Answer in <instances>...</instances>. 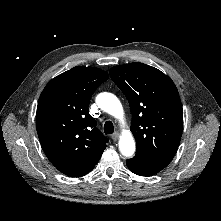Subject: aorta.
<instances>
[{"label":"aorta","mask_w":221,"mask_h":221,"mask_svg":"<svg viewBox=\"0 0 221 221\" xmlns=\"http://www.w3.org/2000/svg\"><path fill=\"white\" fill-rule=\"evenodd\" d=\"M96 102L101 110L122 120L124 111L120 100L112 93L103 92L97 95ZM119 149L122 155L130 157L135 152V141L129 130H123L119 140Z\"/></svg>","instance_id":"762f6f07"}]
</instances>
